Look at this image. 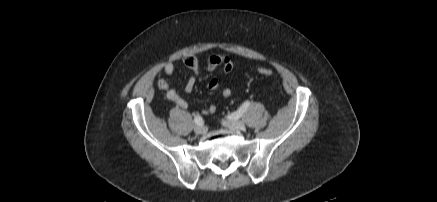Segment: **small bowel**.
<instances>
[{"label": "small bowel", "mask_w": 437, "mask_h": 202, "mask_svg": "<svg viewBox=\"0 0 437 202\" xmlns=\"http://www.w3.org/2000/svg\"><path fill=\"white\" fill-rule=\"evenodd\" d=\"M183 64L187 69L192 72V75L188 78L184 91L186 93H190L195 88L196 84V76L199 73V59L196 55H187L183 59ZM206 69L208 71H214L217 69H222L225 73H230L233 70V63L230 58L226 55H212L208 57L206 60ZM163 72L165 75L170 76L175 72V65L172 62H168L163 67ZM157 86L159 89L165 91L166 97L174 102L178 107L187 109L188 103L185 99H183L177 91L172 89L169 83L163 79L162 77L157 78ZM221 88V84L217 78H213L207 84V89L210 91H216ZM231 96V91L228 88L221 89V97L223 99H227ZM216 111L215 105H210L206 109L203 110L204 114H212Z\"/></svg>", "instance_id": "small-bowel-1"}]
</instances>
